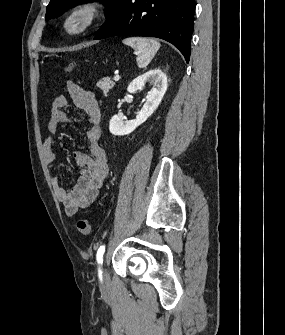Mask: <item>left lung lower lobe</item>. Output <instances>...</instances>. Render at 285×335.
<instances>
[{"mask_svg": "<svg viewBox=\"0 0 285 335\" xmlns=\"http://www.w3.org/2000/svg\"><path fill=\"white\" fill-rule=\"evenodd\" d=\"M195 0H119L94 39L119 35L157 37L190 59Z\"/></svg>", "mask_w": 285, "mask_h": 335, "instance_id": "0a47b994", "label": "left lung lower lobe"}]
</instances>
